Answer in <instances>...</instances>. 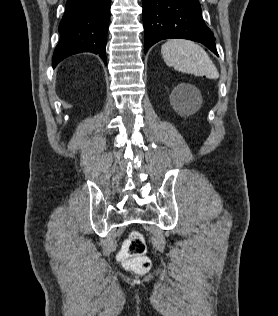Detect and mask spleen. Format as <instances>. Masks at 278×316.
I'll use <instances>...</instances> for the list:
<instances>
[{"label":"spleen","mask_w":278,"mask_h":316,"mask_svg":"<svg viewBox=\"0 0 278 316\" xmlns=\"http://www.w3.org/2000/svg\"><path fill=\"white\" fill-rule=\"evenodd\" d=\"M161 53L168 66L197 76L218 78L219 73L207 52L196 43L184 39H172L161 47Z\"/></svg>","instance_id":"3e777b00"}]
</instances>
